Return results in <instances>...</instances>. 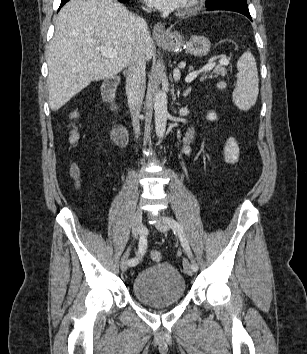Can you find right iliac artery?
Instances as JSON below:
<instances>
[{"instance_id": "1", "label": "right iliac artery", "mask_w": 307, "mask_h": 354, "mask_svg": "<svg viewBox=\"0 0 307 354\" xmlns=\"http://www.w3.org/2000/svg\"><path fill=\"white\" fill-rule=\"evenodd\" d=\"M139 239V252L137 257L128 260L127 264L129 266H136L139 263V260L142 258V255L145 253L147 248V239L145 237V230L142 228Z\"/></svg>"}]
</instances>
